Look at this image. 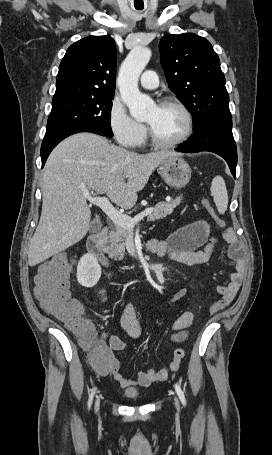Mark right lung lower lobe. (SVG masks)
<instances>
[{
  "label": "right lung lower lobe",
  "mask_w": 272,
  "mask_h": 455,
  "mask_svg": "<svg viewBox=\"0 0 272 455\" xmlns=\"http://www.w3.org/2000/svg\"><path fill=\"white\" fill-rule=\"evenodd\" d=\"M79 132H91L95 134H99L101 136H107L105 133L100 131L97 128L91 127V126H73V127H65V128H60L56 129L53 131H48L46 132L42 146H41V160H42V168L53 150V148L63 139L66 137L79 133Z\"/></svg>",
  "instance_id": "right-lung-lower-lobe-1"
}]
</instances>
